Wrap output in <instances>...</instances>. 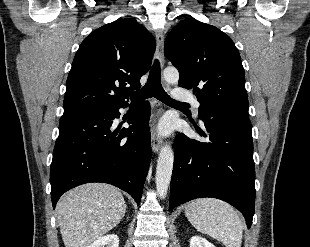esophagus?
<instances>
[{"label":"esophagus","mask_w":310,"mask_h":247,"mask_svg":"<svg viewBox=\"0 0 310 247\" xmlns=\"http://www.w3.org/2000/svg\"><path fill=\"white\" fill-rule=\"evenodd\" d=\"M156 41H157V57L161 65H163L164 64V54H163L164 35L161 31L156 32ZM151 141H152L153 152L157 153L160 150L163 141H162V138L157 134L155 129L152 130Z\"/></svg>","instance_id":"1"}]
</instances>
